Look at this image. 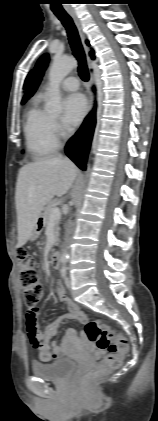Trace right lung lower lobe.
Instances as JSON below:
<instances>
[{
  "label": "right lung lower lobe",
  "instance_id": "right-lung-lower-lobe-1",
  "mask_svg": "<svg viewBox=\"0 0 158 421\" xmlns=\"http://www.w3.org/2000/svg\"><path fill=\"white\" fill-rule=\"evenodd\" d=\"M95 127V111L93 110L85 119L76 134L68 141L65 152L76 165L85 170L87 155Z\"/></svg>",
  "mask_w": 158,
  "mask_h": 421
}]
</instances>
